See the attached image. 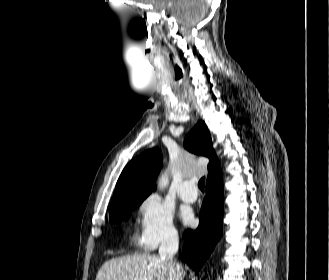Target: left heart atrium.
Wrapping results in <instances>:
<instances>
[{
  "label": "left heart atrium",
  "instance_id": "39dd6f15",
  "mask_svg": "<svg viewBox=\"0 0 329 280\" xmlns=\"http://www.w3.org/2000/svg\"><path fill=\"white\" fill-rule=\"evenodd\" d=\"M181 218L185 224H191L194 220L193 213L189 209H183L181 211Z\"/></svg>",
  "mask_w": 329,
  "mask_h": 280
}]
</instances>
